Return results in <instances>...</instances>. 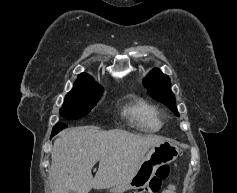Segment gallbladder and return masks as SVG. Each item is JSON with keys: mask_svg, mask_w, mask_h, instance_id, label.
Returning <instances> with one entry per match:
<instances>
[{"mask_svg": "<svg viewBox=\"0 0 237 193\" xmlns=\"http://www.w3.org/2000/svg\"><path fill=\"white\" fill-rule=\"evenodd\" d=\"M68 193H76L75 191L70 190Z\"/></svg>", "mask_w": 237, "mask_h": 193, "instance_id": "1", "label": "gallbladder"}]
</instances>
